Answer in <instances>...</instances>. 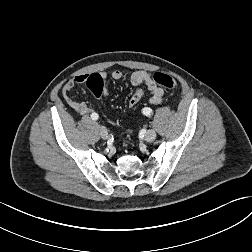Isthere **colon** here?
Returning <instances> with one entry per match:
<instances>
[{
    "mask_svg": "<svg viewBox=\"0 0 252 252\" xmlns=\"http://www.w3.org/2000/svg\"><path fill=\"white\" fill-rule=\"evenodd\" d=\"M153 80L156 84L164 86L167 89H176V81L169 75L161 72H157L153 75ZM86 87L97 98L106 94V81L105 78L97 73L91 74L85 81ZM144 96V92L141 88H138L130 97L128 101L129 107H135L138 105Z\"/></svg>",
    "mask_w": 252,
    "mask_h": 252,
    "instance_id": "1",
    "label": "colon"
}]
</instances>
